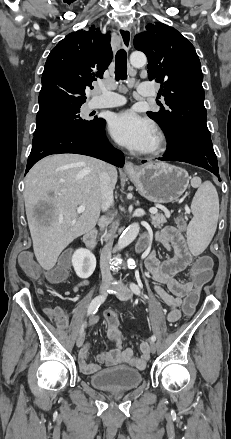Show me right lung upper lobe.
<instances>
[{
  "label": "right lung upper lobe",
  "mask_w": 231,
  "mask_h": 439,
  "mask_svg": "<svg viewBox=\"0 0 231 439\" xmlns=\"http://www.w3.org/2000/svg\"><path fill=\"white\" fill-rule=\"evenodd\" d=\"M112 56L109 33L103 35L91 26L68 34L48 55L36 119L80 108L85 88L103 77Z\"/></svg>",
  "instance_id": "cb5924a9"
}]
</instances>
